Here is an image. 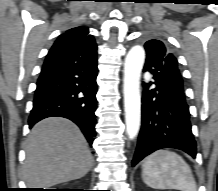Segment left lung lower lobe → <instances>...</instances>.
Here are the masks:
<instances>
[{
  "label": "left lung lower lobe",
  "instance_id": "left-lung-lower-lobe-1",
  "mask_svg": "<svg viewBox=\"0 0 218 191\" xmlns=\"http://www.w3.org/2000/svg\"><path fill=\"white\" fill-rule=\"evenodd\" d=\"M143 70L153 74V81L143 83L142 127L132 165L153 151L166 147L183 150L195 158L196 142L191 132L184 89L178 84L165 87L163 75L148 63ZM150 85L153 88L149 89Z\"/></svg>",
  "mask_w": 218,
  "mask_h": 191
}]
</instances>
